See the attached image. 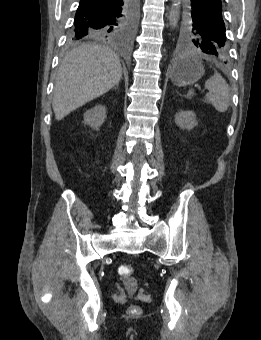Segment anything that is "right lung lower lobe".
Wrapping results in <instances>:
<instances>
[{"instance_id": "right-lung-lower-lobe-1", "label": "right lung lower lobe", "mask_w": 261, "mask_h": 340, "mask_svg": "<svg viewBox=\"0 0 261 340\" xmlns=\"http://www.w3.org/2000/svg\"><path fill=\"white\" fill-rule=\"evenodd\" d=\"M129 0H80L73 28L82 30L97 21L118 16Z\"/></svg>"}]
</instances>
